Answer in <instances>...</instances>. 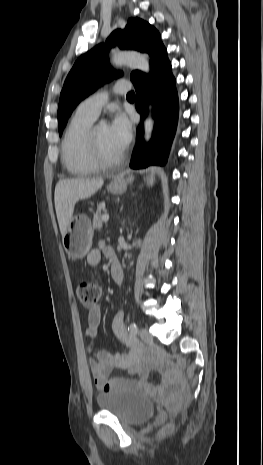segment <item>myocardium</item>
Listing matches in <instances>:
<instances>
[{
    "instance_id": "myocardium-1",
    "label": "myocardium",
    "mask_w": 263,
    "mask_h": 465,
    "mask_svg": "<svg viewBox=\"0 0 263 465\" xmlns=\"http://www.w3.org/2000/svg\"><path fill=\"white\" fill-rule=\"evenodd\" d=\"M101 124L92 125L86 134V146L91 161L98 168H110L118 165L124 159V152L115 158H106L101 153L97 140V129Z\"/></svg>"
}]
</instances>
